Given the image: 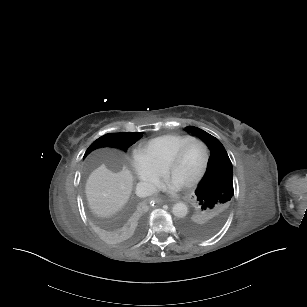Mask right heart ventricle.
Masks as SVG:
<instances>
[{
    "label": "right heart ventricle",
    "mask_w": 307,
    "mask_h": 307,
    "mask_svg": "<svg viewBox=\"0 0 307 307\" xmlns=\"http://www.w3.org/2000/svg\"><path fill=\"white\" fill-rule=\"evenodd\" d=\"M189 138L191 136L187 134H165L153 139L137 142L134 144L132 151L145 155L156 165H163L166 159Z\"/></svg>",
    "instance_id": "obj_1"
}]
</instances>
